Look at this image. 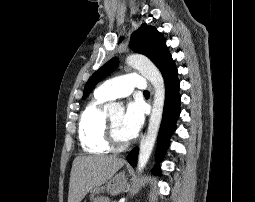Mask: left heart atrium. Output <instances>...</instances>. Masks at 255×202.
<instances>
[{
    "label": "left heart atrium",
    "mask_w": 255,
    "mask_h": 202,
    "mask_svg": "<svg viewBox=\"0 0 255 202\" xmlns=\"http://www.w3.org/2000/svg\"><path fill=\"white\" fill-rule=\"evenodd\" d=\"M144 123V109L140 102L132 101L127 105L123 126L131 138L135 137Z\"/></svg>",
    "instance_id": "1"
}]
</instances>
